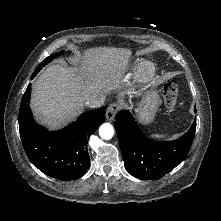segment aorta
<instances>
[{"mask_svg":"<svg viewBox=\"0 0 221 221\" xmlns=\"http://www.w3.org/2000/svg\"><path fill=\"white\" fill-rule=\"evenodd\" d=\"M99 135L102 139L109 140L114 135V128L109 123H104L99 128Z\"/></svg>","mask_w":221,"mask_h":221,"instance_id":"762f6f07","label":"aorta"}]
</instances>
